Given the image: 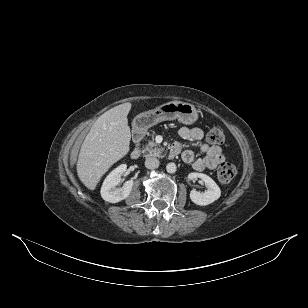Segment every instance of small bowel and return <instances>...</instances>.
<instances>
[{"mask_svg": "<svg viewBox=\"0 0 308 308\" xmlns=\"http://www.w3.org/2000/svg\"><path fill=\"white\" fill-rule=\"evenodd\" d=\"M179 135L185 141L197 142L198 151L204 155L202 158H195L194 151L185 148V145L180 142L175 143L183 161L191 164L196 171L212 170L224 162L225 155L221 147L205 143L203 141L204 132L200 128L185 126L180 128Z\"/></svg>", "mask_w": 308, "mask_h": 308, "instance_id": "c3829d8e", "label": "small bowel"}]
</instances>
